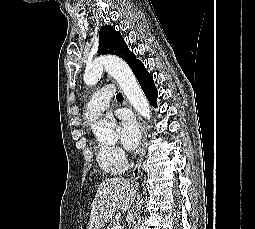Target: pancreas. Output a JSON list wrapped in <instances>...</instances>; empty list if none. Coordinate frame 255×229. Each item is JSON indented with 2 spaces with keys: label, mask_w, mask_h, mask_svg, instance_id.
<instances>
[{
  "label": "pancreas",
  "mask_w": 255,
  "mask_h": 229,
  "mask_svg": "<svg viewBox=\"0 0 255 229\" xmlns=\"http://www.w3.org/2000/svg\"><path fill=\"white\" fill-rule=\"evenodd\" d=\"M117 223H118V222H113V224H109V226L107 227V229H114Z\"/></svg>",
  "instance_id": "1"
}]
</instances>
